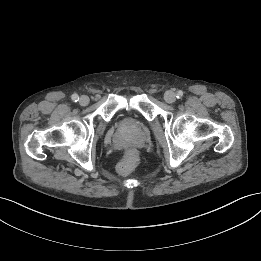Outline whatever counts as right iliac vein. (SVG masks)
I'll list each match as a JSON object with an SVG mask.
<instances>
[{
  "mask_svg": "<svg viewBox=\"0 0 261 261\" xmlns=\"http://www.w3.org/2000/svg\"><path fill=\"white\" fill-rule=\"evenodd\" d=\"M88 103H89V98H88V96L82 95V96L79 98V104H80L81 106H86Z\"/></svg>",
  "mask_w": 261,
  "mask_h": 261,
  "instance_id": "63e3f726",
  "label": "right iliac vein"
}]
</instances>
